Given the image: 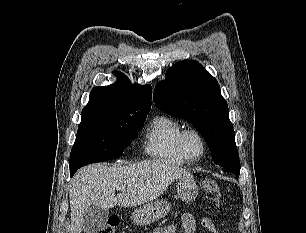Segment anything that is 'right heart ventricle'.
<instances>
[{"label":"right heart ventricle","instance_id":"1","mask_svg":"<svg viewBox=\"0 0 306 233\" xmlns=\"http://www.w3.org/2000/svg\"><path fill=\"white\" fill-rule=\"evenodd\" d=\"M184 126L176 119L161 115L150 124L145 143V152L157 159L175 164H183L179 148V138Z\"/></svg>","mask_w":306,"mask_h":233}]
</instances>
